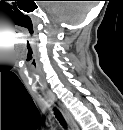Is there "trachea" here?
I'll use <instances>...</instances> for the list:
<instances>
[{
    "instance_id": "3493384b",
    "label": "trachea",
    "mask_w": 123,
    "mask_h": 130,
    "mask_svg": "<svg viewBox=\"0 0 123 130\" xmlns=\"http://www.w3.org/2000/svg\"><path fill=\"white\" fill-rule=\"evenodd\" d=\"M54 114L58 119V121L61 123V125L66 128L67 127L66 121L64 120L62 114L55 108H54Z\"/></svg>"
}]
</instances>
